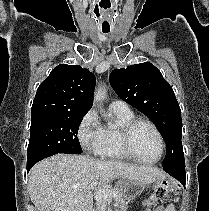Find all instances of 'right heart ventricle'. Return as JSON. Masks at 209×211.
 Masks as SVG:
<instances>
[{
  "label": "right heart ventricle",
  "instance_id": "right-heart-ventricle-1",
  "mask_svg": "<svg viewBox=\"0 0 209 211\" xmlns=\"http://www.w3.org/2000/svg\"><path fill=\"white\" fill-rule=\"evenodd\" d=\"M114 121L101 126V139L94 150L95 154L102 159L112 161H128L130 158L125 154L121 145V129L132 119V111H112Z\"/></svg>",
  "mask_w": 209,
  "mask_h": 211
}]
</instances>
